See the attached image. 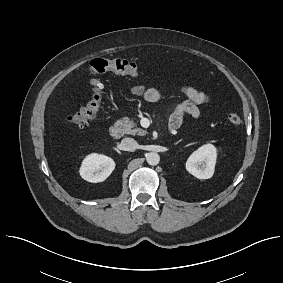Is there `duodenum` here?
I'll return each mask as SVG.
<instances>
[{"label": "duodenum", "mask_w": 283, "mask_h": 283, "mask_svg": "<svg viewBox=\"0 0 283 283\" xmlns=\"http://www.w3.org/2000/svg\"><path fill=\"white\" fill-rule=\"evenodd\" d=\"M109 134L111 137L117 139L121 136V128L117 124H112L109 127Z\"/></svg>", "instance_id": "410a0bca"}]
</instances>
